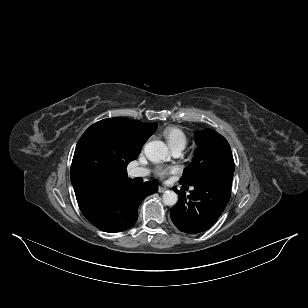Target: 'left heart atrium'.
I'll return each mask as SVG.
<instances>
[{"label":"left heart atrium","mask_w":308,"mask_h":308,"mask_svg":"<svg viewBox=\"0 0 308 308\" xmlns=\"http://www.w3.org/2000/svg\"><path fill=\"white\" fill-rule=\"evenodd\" d=\"M176 171V168L175 167H165V168H158L156 173L158 176L160 177H164L170 173H173Z\"/></svg>","instance_id":"obj_1"}]
</instances>
